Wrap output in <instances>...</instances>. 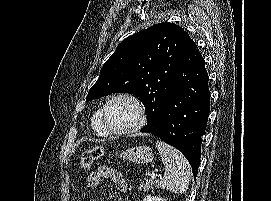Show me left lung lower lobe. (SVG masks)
Instances as JSON below:
<instances>
[{
    "mask_svg": "<svg viewBox=\"0 0 271 201\" xmlns=\"http://www.w3.org/2000/svg\"><path fill=\"white\" fill-rule=\"evenodd\" d=\"M210 92L205 62L196 44L185 32L180 63L173 86L161 108L156 127H143L180 150L196 177L201 157V143L210 111Z\"/></svg>",
    "mask_w": 271,
    "mask_h": 201,
    "instance_id": "obj_1",
    "label": "left lung lower lobe"
}]
</instances>
